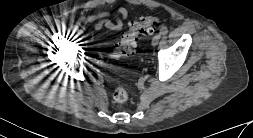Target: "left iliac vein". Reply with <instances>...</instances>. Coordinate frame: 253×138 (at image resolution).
<instances>
[{"mask_svg":"<svg viewBox=\"0 0 253 138\" xmlns=\"http://www.w3.org/2000/svg\"><path fill=\"white\" fill-rule=\"evenodd\" d=\"M160 38H161V35H160V34H156V35L153 37V39H152V46H153V47L157 46V44H158Z\"/></svg>","mask_w":253,"mask_h":138,"instance_id":"obj_1","label":"left iliac vein"}]
</instances>
